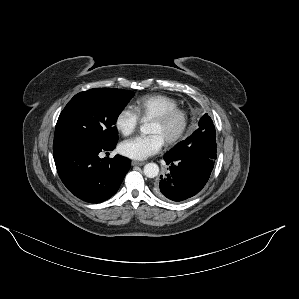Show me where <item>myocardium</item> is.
Returning a JSON list of instances; mask_svg holds the SVG:
<instances>
[{"label": "myocardium", "mask_w": 299, "mask_h": 299, "mask_svg": "<svg viewBox=\"0 0 299 299\" xmlns=\"http://www.w3.org/2000/svg\"><path fill=\"white\" fill-rule=\"evenodd\" d=\"M174 118L179 119V126L172 135H170L169 137H167L165 139V142L168 145L175 144L184 137V135L189 127V121H190L188 112L184 109L177 107L174 109L164 111L152 118V120H154L160 124L168 123L169 121H171Z\"/></svg>", "instance_id": "obj_1"}]
</instances>
